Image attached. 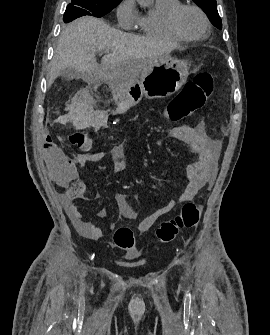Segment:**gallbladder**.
I'll use <instances>...</instances> for the list:
<instances>
[{"label":"gallbladder","instance_id":"bac80fb5","mask_svg":"<svg viewBox=\"0 0 270 335\" xmlns=\"http://www.w3.org/2000/svg\"><path fill=\"white\" fill-rule=\"evenodd\" d=\"M63 76L65 78H84L83 72H77V70H73V68H67V70H64Z\"/></svg>","mask_w":270,"mask_h":335}]
</instances>
